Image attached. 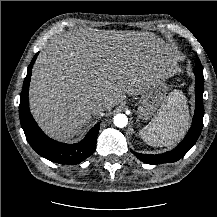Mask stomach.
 Masks as SVG:
<instances>
[{"instance_id":"stomach-1","label":"stomach","mask_w":217,"mask_h":217,"mask_svg":"<svg viewBox=\"0 0 217 217\" xmlns=\"http://www.w3.org/2000/svg\"><path fill=\"white\" fill-rule=\"evenodd\" d=\"M167 87L164 83H154L151 86L143 87L140 94L141 97L137 103L138 118L148 120L160 104L165 100Z\"/></svg>"}]
</instances>
